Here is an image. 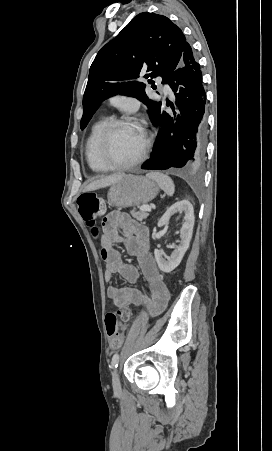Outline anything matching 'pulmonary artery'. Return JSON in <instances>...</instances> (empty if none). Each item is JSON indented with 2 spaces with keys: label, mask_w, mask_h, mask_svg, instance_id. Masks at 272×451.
<instances>
[{
  "label": "pulmonary artery",
  "mask_w": 272,
  "mask_h": 451,
  "mask_svg": "<svg viewBox=\"0 0 272 451\" xmlns=\"http://www.w3.org/2000/svg\"><path fill=\"white\" fill-rule=\"evenodd\" d=\"M164 86H163V89H164V97H165V99L166 100H171L172 99V95H173V90L171 89V87L168 85V83L165 81L164 83Z\"/></svg>",
  "instance_id": "1"
}]
</instances>
